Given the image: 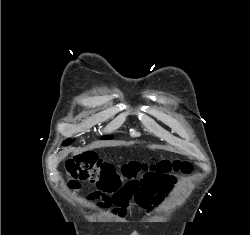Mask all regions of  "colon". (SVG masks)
I'll return each mask as SVG.
<instances>
[{"instance_id":"obj_1","label":"colon","mask_w":250,"mask_h":235,"mask_svg":"<svg viewBox=\"0 0 250 235\" xmlns=\"http://www.w3.org/2000/svg\"><path fill=\"white\" fill-rule=\"evenodd\" d=\"M190 165L179 161H160L150 166L127 162L120 167L101 160L95 153H83L66 163V174L71 190H77L81 181L96 184L98 192L90 199L99 207L114 205L123 209L141 189L167 187L172 184L173 171L187 172Z\"/></svg>"}]
</instances>
